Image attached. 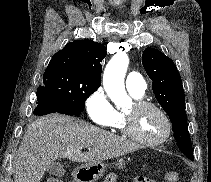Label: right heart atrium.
I'll list each match as a JSON object with an SVG mask.
<instances>
[{"mask_svg":"<svg viewBox=\"0 0 211 182\" xmlns=\"http://www.w3.org/2000/svg\"><path fill=\"white\" fill-rule=\"evenodd\" d=\"M89 119L96 125L108 126L115 117V108L102 87L94 90L85 101Z\"/></svg>","mask_w":211,"mask_h":182,"instance_id":"obj_1","label":"right heart atrium"}]
</instances>
